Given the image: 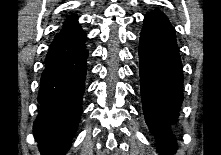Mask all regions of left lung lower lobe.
<instances>
[{
  "instance_id": "0a47b994",
  "label": "left lung lower lobe",
  "mask_w": 221,
  "mask_h": 155,
  "mask_svg": "<svg viewBox=\"0 0 221 155\" xmlns=\"http://www.w3.org/2000/svg\"><path fill=\"white\" fill-rule=\"evenodd\" d=\"M141 97L146 122L157 138V149L173 155L171 124L179 116L183 100V73L175 31L158 9L144 18L140 35Z\"/></svg>"
}]
</instances>
